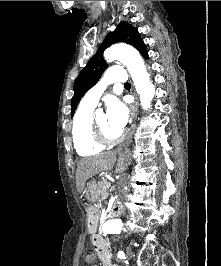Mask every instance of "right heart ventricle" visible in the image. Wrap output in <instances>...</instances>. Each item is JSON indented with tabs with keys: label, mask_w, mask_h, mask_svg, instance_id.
<instances>
[{
	"label": "right heart ventricle",
	"mask_w": 221,
	"mask_h": 266,
	"mask_svg": "<svg viewBox=\"0 0 221 266\" xmlns=\"http://www.w3.org/2000/svg\"><path fill=\"white\" fill-rule=\"evenodd\" d=\"M92 117L93 108L81 104L73 119L72 139L80 156H95L104 149V146L94 139L91 124Z\"/></svg>",
	"instance_id": "right-heart-ventricle-1"
}]
</instances>
